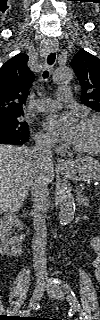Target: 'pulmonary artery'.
I'll list each match as a JSON object with an SVG mask.
<instances>
[{
    "label": "pulmonary artery",
    "mask_w": 100,
    "mask_h": 320,
    "mask_svg": "<svg viewBox=\"0 0 100 320\" xmlns=\"http://www.w3.org/2000/svg\"><path fill=\"white\" fill-rule=\"evenodd\" d=\"M58 97V101L48 98L40 99L34 104V109L37 111H52L59 107L60 102H72L71 88L69 86L60 87L58 90Z\"/></svg>",
    "instance_id": "pulmonary-artery-1"
}]
</instances>
